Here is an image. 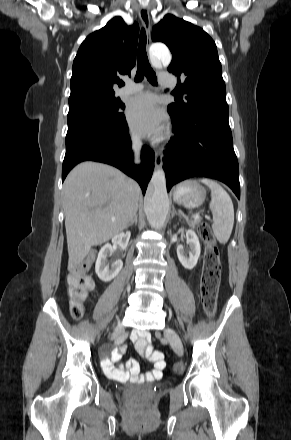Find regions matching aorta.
Masks as SVG:
<instances>
[{
  "label": "aorta",
  "mask_w": 291,
  "mask_h": 440,
  "mask_svg": "<svg viewBox=\"0 0 291 440\" xmlns=\"http://www.w3.org/2000/svg\"><path fill=\"white\" fill-rule=\"evenodd\" d=\"M150 54L161 61L163 66H168L171 62L170 51L163 44H153L150 47ZM144 210L148 222L153 228L160 229L164 226L169 211V199L163 170H156L153 173L144 200Z\"/></svg>",
  "instance_id": "762f6f07"
}]
</instances>
